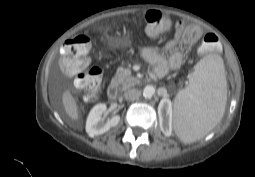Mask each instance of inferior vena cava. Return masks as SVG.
Listing matches in <instances>:
<instances>
[{
	"mask_svg": "<svg viewBox=\"0 0 255 177\" xmlns=\"http://www.w3.org/2000/svg\"><path fill=\"white\" fill-rule=\"evenodd\" d=\"M141 95L140 90L138 89H129L124 93V97L126 100H135L138 99Z\"/></svg>",
	"mask_w": 255,
	"mask_h": 177,
	"instance_id": "inferior-vena-cava-1",
	"label": "inferior vena cava"
}]
</instances>
